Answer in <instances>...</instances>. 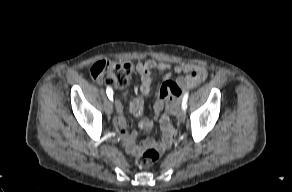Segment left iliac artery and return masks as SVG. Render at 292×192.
<instances>
[{"mask_svg":"<svg viewBox=\"0 0 292 192\" xmlns=\"http://www.w3.org/2000/svg\"><path fill=\"white\" fill-rule=\"evenodd\" d=\"M188 96H189V93H188V92H186V93L184 94V96H183V100H182V109H183L184 111H186V109H187V100H188Z\"/></svg>","mask_w":292,"mask_h":192,"instance_id":"1","label":"left iliac artery"}]
</instances>
